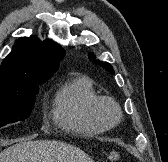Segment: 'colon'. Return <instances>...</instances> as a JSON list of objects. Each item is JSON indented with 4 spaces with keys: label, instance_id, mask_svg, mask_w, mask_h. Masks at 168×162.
Here are the masks:
<instances>
[{
    "label": "colon",
    "instance_id": "1",
    "mask_svg": "<svg viewBox=\"0 0 168 162\" xmlns=\"http://www.w3.org/2000/svg\"><path fill=\"white\" fill-rule=\"evenodd\" d=\"M108 159L111 161V162H115V161H118L120 160V154L118 152H110L109 155H108Z\"/></svg>",
    "mask_w": 168,
    "mask_h": 162
}]
</instances>
